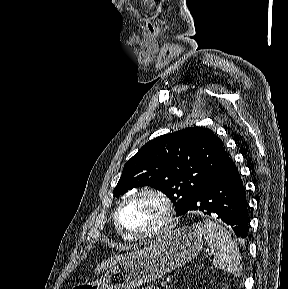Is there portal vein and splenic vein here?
Wrapping results in <instances>:
<instances>
[{"label":"portal vein and splenic vein","mask_w":288,"mask_h":289,"mask_svg":"<svg viewBox=\"0 0 288 289\" xmlns=\"http://www.w3.org/2000/svg\"><path fill=\"white\" fill-rule=\"evenodd\" d=\"M160 286H161V287H164V288H168V284H167L166 281L161 282V283H160Z\"/></svg>","instance_id":"18ae733b"}]
</instances>
